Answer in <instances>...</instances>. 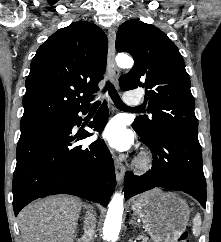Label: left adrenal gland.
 <instances>
[{
  "label": "left adrenal gland",
  "mask_w": 221,
  "mask_h": 242,
  "mask_svg": "<svg viewBox=\"0 0 221 242\" xmlns=\"http://www.w3.org/2000/svg\"><path fill=\"white\" fill-rule=\"evenodd\" d=\"M129 223H130V224H135V225H136L134 215H132V218H131V220L129 221Z\"/></svg>",
  "instance_id": "left-adrenal-gland-1"
}]
</instances>
